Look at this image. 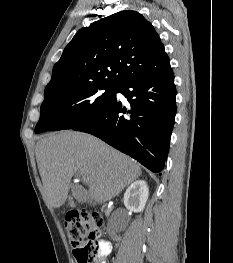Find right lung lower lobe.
<instances>
[{
  "instance_id": "1",
  "label": "right lung lower lobe",
  "mask_w": 233,
  "mask_h": 263,
  "mask_svg": "<svg viewBox=\"0 0 233 263\" xmlns=\"http://www.w3.org/2000/svg\"><path fill=\"white\" fill-rule=\"evenodd\" d=\"M116 92L127 98L128 108L117 101L115 94L104 109L72 129L95 135L151 171L161 172L176 115L172 68L126 81Z\"/></svg>"
}]
</instances>
